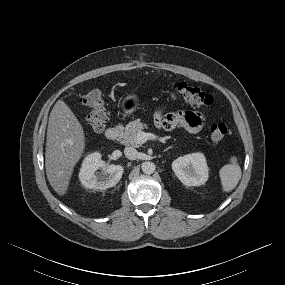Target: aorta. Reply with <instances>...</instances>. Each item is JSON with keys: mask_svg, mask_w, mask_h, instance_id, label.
Wrapping results in <instances>:
<instances>
[{"mask_svg": "<svg viewBox=\"0 0 285 285\" xmlns=\"http://www.w3.org/2000/svg\"><path fill=\"white\" fill-rule=\"evenodd\" d=\"M155 164L153 162H143L142 163V171L145 174H152L155 171Z\"/></svg>", "mask_w": 285, "mask_h": 285, "instance_id": "aorta-1", "label": "aorta"}]
</instances>
